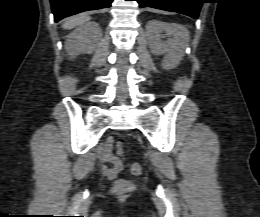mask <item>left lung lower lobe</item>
I'll return each instance as SVG.
<instances>
[{"mask_svg":"<svg viewBox=\"0 0 260 217\" xmlns=\"http://www.w3.org/2000/svg\"><path fill=\"white\" fill-rule=\"evenodd\" d=\"M140 7L177 12L197 19L203 0H136Z\"/></svg>","mask_w":260,"mask_h":217,"instance_id":"1","label":"left lung lower lobe"}]
</instances>
